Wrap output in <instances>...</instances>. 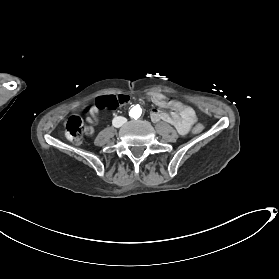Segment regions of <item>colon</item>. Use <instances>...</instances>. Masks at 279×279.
I'll return each instance as SVG.
<instances>
[{"label":"colon","instance_id":"colon-1","mask_svg":"<svg viewBox=\"0 0 279 279\" xmlns=\"http://www.w3.org/2000/svg\"><path fill=\"white\" fill-rule=\"evenodd\" d=\"M130 98L127 95L119 94V95H103L99 96L93 106L88 107L89 109H118L129 102ZM179 111L181 113H193L192 109L188 106L180 103ZM65 136L68 140L73 143H80L84 139L86 135L90 133V128L85 126L83 120L77 116H70L65 123ZM204 130V125L201 123H197L193 127L194 134H200Z\"/></svg>","mask_w":279,"mask_h":279}]
</instances>
